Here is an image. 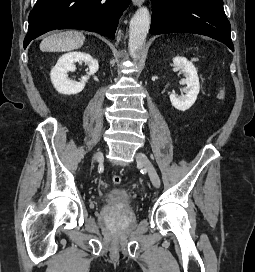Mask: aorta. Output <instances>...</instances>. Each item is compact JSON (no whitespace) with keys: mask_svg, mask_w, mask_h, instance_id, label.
<instances>
[{"mask_svg":"<svg viewBox=\"0 0 255 272\" xmlns=\"http://www.w3.org/2000/svg\"><path fill=\"white\" fill-rule=\"evenodd\" d=\"M150 27V13L146 7H140L133 15L129 26L128 48L131 57L136 60L141 52Z\"/></svg>","mask_w":255,"mask_h":272,"instance_id":"1","label":"aorta"}]
</instances>
